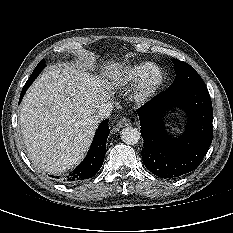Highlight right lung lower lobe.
Wrapping results in <instances>:
<instances>
[{"instance_id":"98d812e1","label":"right lung lower lobe","mask_w":233,"mask_h":233,"mask_svg":"<svg viewBox=\"0 0 233 233\" xmlns=\"http://www.w3.org/2000/svg\"><path fill=\"white\" fill-rule=\"evenodd\" d=\"M33 81L32 79L27 80L22 89L20 101ZM109 132L108 119H106L100 123L85 159L74 171L62 178L63 182H74L91 178L99 171L104 161Z\"/></svg>"}]
</instances>
